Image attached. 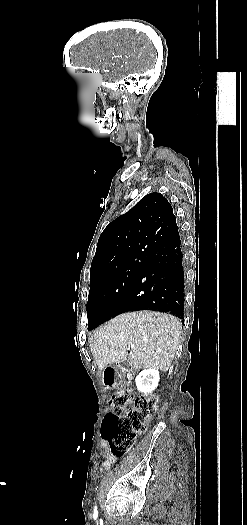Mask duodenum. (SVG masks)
<instances>
[{
  "label": "duodenum",
  "mask_w": 247,
  "mask_h": 525,
  "mask_svg": "<svg viewBox=\"0 0 247 525\" xmlns=\"http://www.w3.org/2000/svg\"><path fill=\"white\" fill-rule=\"evenodd\" d=\"M128 370V364L126 361H121L115 367L106 368L103 374V382L107 388L115 387L119 381L123 372Z\"/></svg>",
  "instance_id": "duodenum-1"
}]
</instances>
